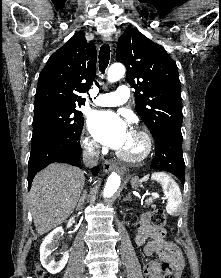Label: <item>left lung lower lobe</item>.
Wrapping results in <instances>:
<instances>
[{
  "mask_svg": "<svg viewBox=\"0 0 221 278\" xmlns=\"http://www.w3.org/2000/svg\"><path fill=\"white\" fill-rule=\"evenodd\" d=\"M154 139L156 154L150 168L171 172L184 185L185 163L182 153V134L163 132Z\"/></svg>",
  "mask_w": 221,
  "mask_h": 278,
  "instance_id": "0a47b994",
  "label": "left lung lower lobe"
}]
</instances>
